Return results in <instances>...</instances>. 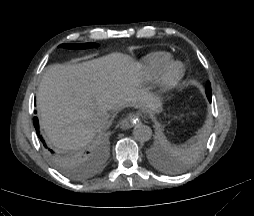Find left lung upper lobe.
<instances>
[{"mask_svg": "<svg viewBox=\"0 0 254 216\" xmlns=\"http://www.w3.org/2000/svg\"><path fill=\"white\" fill-rule=\"evenodd\" d=\"M206 94H207V97L209 96H211V86H210V82H207V84H206Z\"/></svg>", "mask_w": 254, "mask_h": 216, "instance_id": "1", "label": "left lung upper lobe"}]
</instances>
